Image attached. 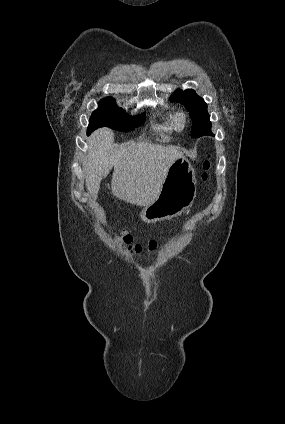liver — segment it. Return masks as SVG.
I'll return each instance as SVG.
<instances>
[{"mask_svg": "<svg viewBox=\"0 0 285 424\" xmlns=\"http://www.w3.org/2000/svg\"><path fill=\"white\" fill-rule=\"evenodd\" d=\"M83 166L86 189L96 199L100 184L114 167L112 194L127 203L146 206L159 195L171 164L182 155L176 146L129 141L114 144L113 131L96 130L87 139Z\"/></svg>", "mask_w": 285, "mask_h": 424, "instance_id": "liver-1", "label": "liver"}]
</instances>
